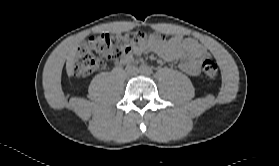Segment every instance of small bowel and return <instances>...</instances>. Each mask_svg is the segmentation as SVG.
<instances>
[{"mask_svg": "<svg viewBox=\"0 0 279 166\" xmlns=\"http://www.w3.org/2000/svg\"><path fill=\"white\" fill-rule=\"evenodd\" d=\"M149 51L155 52L166 62L183 60L180 67L190 76L199 74L200 60L206 55V49L198 41L192 38H184L182 35H176L165 42L150 39L139 44L120 63L129 64L133 61L134 56H141Z\"/></svg>", "mask_w": 279, "mask_h": 166, "instance_id": "obj_1", "label": "small bowel"}]
</instances>
